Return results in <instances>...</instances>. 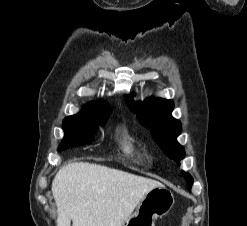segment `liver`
Wrapping results in <instances>:
<instances>
[{
  "mask_svg": "<svg viewBox=\"0 0 247 226\" xmlns=\"http://www.w3.org/2000/svg\"><path fill=\"white\" fill-rule=\"evenodd\" d=\"M162 184L90 163H69L52 182L57 226H121L145 194Z\"/></svg>",
  "mask_w": 247,
  "mask_h": 226,
  "instance_id": "obj_1",
  "label": "liver"
}]
</instances>
